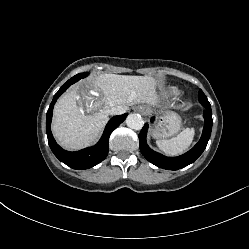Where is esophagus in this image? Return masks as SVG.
<instances>
[{
    "label": "esophagus",
    "mask_w": 249,
    "mask_h": 249,
    "mask_svg": "<svg viewBox=\"0 0 249 249\" xmlns=\"http://www.w3.org/2000/svg\"><path fill=\"white\" fill-rule=\"evenodd\" d=\"M135 112L145 115L147 111L144 106H138L135 108Z\"/></svg>",
    "instance_id": "34e87169"
}]
</instances>
